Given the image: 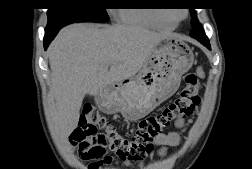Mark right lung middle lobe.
<instances>
[{"mask_svg":"<svg viewBox=\"0 0 252 169\" xmlns=\"http://www.w3.org/2000/svg\"><path fill=\"white\" fill-rule=\"evenodd\" d=\"M105 0H49L48 25L45 31L60 29L74 22L109 20Z\"/></svg>","mask_w":252,"mask_h":169,"instance_id":"obj_1","label":"right lung middle lobe"}]
</instances>
